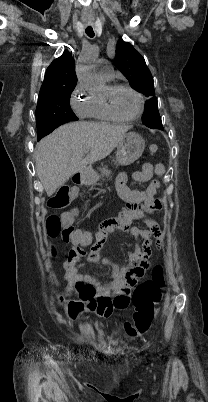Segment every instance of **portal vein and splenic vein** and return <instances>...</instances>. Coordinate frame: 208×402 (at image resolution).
<instances>
[{"instance_id":"obj_1","label":"portal vein and splenic vein","mask_w":208,"mask_h":402,"mask_svg":"<svg viewBox=\"0 0 208 402\" xmlns=\"http://www.w3.org/2000/svg\"><path fill=\"white\" fill-rule=\"evenodd\" d=\"M85 157L86 158H84V162H88V160H90V158H91V156H89V154H85Z\"/></svg>"}]
</instances>
